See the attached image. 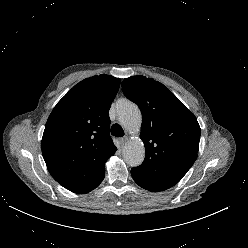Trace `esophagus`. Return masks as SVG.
<instances>
[{"mask_svg": "<svg viewBox=\"0 0 248 248\" xmlns=\"http://www.w3.org/2000/svg\"><path fill=\"white\" fill-rule=\"evenodd\" d=\"M127 141H128V137L127 136H124V137H122V138L119 139V142H120V145L121 146H124Z\"/></svg>", "mask_w": 248, "mask_h": 248, "instance_id": "obj_1", "label": "esophagus"}]
</instances>
